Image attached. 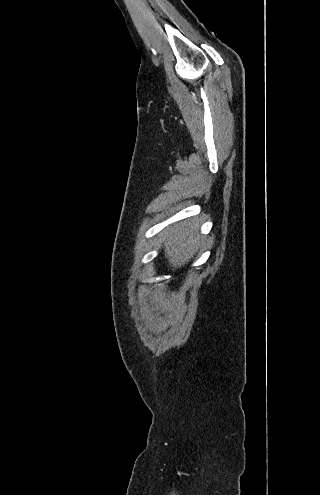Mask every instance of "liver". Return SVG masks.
<instances>
[{"label":"liver","mask_w":320,"mask_h":495,"mask_svg":"<svg viewBox=\"0 0 320 495\" xmlns=\"http://www.w3.org/2000/svg\"><path fill=\"white\" fill-rule=\"evenodd\" d=\"M195 218L175 224L161 234L165 257L171 266L178 268L188 263L196 254L203 237L198 233Z\"/></svg>","instance_id":"obj_1"}]
</instances>
